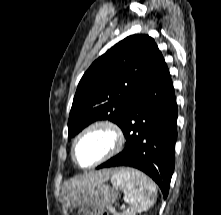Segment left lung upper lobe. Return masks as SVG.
I'll use <instances>...</instances> for the list:
<instances>
[{
  "label": "left lung upper lobe",
  "mask_w": 221,
  "mask_h": 215,
  "mask_svg": "<svg viewBox=\"0 0 221 215\" xmlns=\"http://www.w3.org/2000/svg\"><path fill=\"white\" fill-rule=\"evenodd\" d=\"M160 53L153 38L137 34L95 60L78 84L68 120L69 137L98 119L120 125L127 103Z\"/></svg>",
  "instance_id": "5c2ea615"
}]
</instances>
